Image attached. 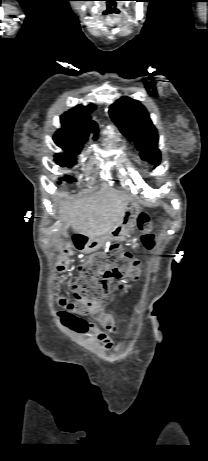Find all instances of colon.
<instances>
[{
    "label": "colon",
    "instance_id": "5ec220e1",
    "mask_svg": "<svg viewBox=\"0 0 208 461\" xmlns=\"http://www.w3.org/2000/svg\"><path fill=\"white\" fill-rule=\"evenodd\" d=\"M137 226L143 232V243L150 246L151 224L146 214L138 215ZM65 266L63 258L57 264V270L62 271ZM139 273L138 261L119 244H111L103 253L92 256L78 267L72 287L74 300H61L63 310L59 312L60 318L74 330L84 331L86 322L79 316L90 314L95 308L104 293V285L123 277L136 279Z\"/></svg>",
    "mask_w": 208,
    "mask_h": 461
}]
</instances>
